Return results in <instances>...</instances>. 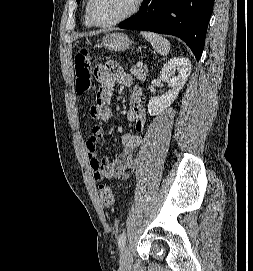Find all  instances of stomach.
<instances>
[{
	"mask_svg": "<svg viewBox=\"0 0 253 271\" xmlns=\"http://www.w3.org/2000/svg\"><path fill=\"white\" fill-rule=\"evenodd\" d=\"M134 42L124 33H112L102 39L101 47L120 52L129 49Z\"/></svg>",
	"mask_w": 253,
	"mask_h": 271,
	"instance_id": "stomach-1",
	"label": "stomach"
}]
</instances>
